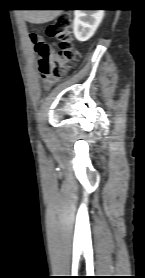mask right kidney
I'll list each match as a JSON object with an SVG mask.
<instances>
[{
	"mask_svg": "<svg viewBox=\"0 0 145 278\" xmlns=\"http://www.w3.org/2000/svg\"><path fill=\"white\" fill-rule=\"evenodd\" d=\"M73 32L78 41L89 40L101 23L104 10H75Z\"/></svg>",
	"mask_w": 145,
	"mask_h": 278,
	"instance_id": "1",
	"label": "right kidney"
}]
</instances>
